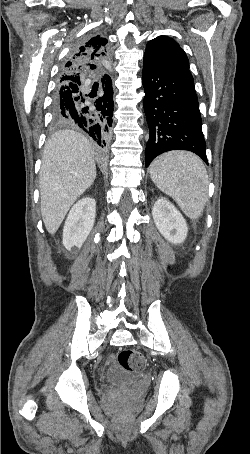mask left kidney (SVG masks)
Masks as SVG:
<instances>
[{
	"label": "left kidney",
	"instance_id": "left-kidney-1",
	"mask_svg": "<svg viewBox=\"0 0 250 454\" xmlns=\"http://www.w3.org/2000/svg\"><path fill=\"white\" fill-rule=\"evenodd\" d=\"M152 216L162 236L172 244L182 243L187 236L188 227L182 214L169 201L160 198L153 208Z\"/></svg>",
	"mask_w": 250,
	"mask_h": 454
}]
</instances>
